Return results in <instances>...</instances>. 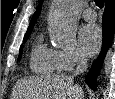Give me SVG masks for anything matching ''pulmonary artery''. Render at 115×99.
I'll return each instance as SVG.
<instances>
[{
  "label": "pulmonary artery",
  "instance_id": "1",
  "mask_svg": "<svg viewBox=\"0 0 115 99\" xmlns=\"http://www.w3.org/2000/svg\"><path fill=\"white\" fill-rule=\"evenodd\" d=\"M82 15L87 21H94L97 17L96 12L92 8H86Z\"/></svg>",
  "mask_w": 115,
  "mask_h": 99
}]
</instances>
